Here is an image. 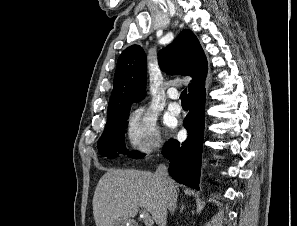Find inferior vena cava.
I'll return each mask as SVG.
<instances>
[{"label":"inferior vena cava","mask_w":297,"mask_h":226,"mask_svg":"<svg viewBox=\"0 0 297 226\" xmlns=\"http://www.w3.org/2000/svg\"><path fill=\"white\" fill-rule=\"evenodd\" d=\"M155 176L159 180L161 186L165 190L166 205L171 213H174L177 207V192L174 187L173 181L169 176L168 168L165 164H160L155 172Z\"/></svg>","instance_id":"obj_1"}]
</instances>
